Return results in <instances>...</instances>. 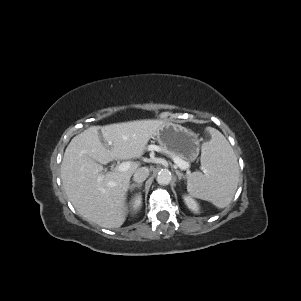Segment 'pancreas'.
<instances>
[{"label":"pancreas","instance_id":"cf45deb5","mask_svg":"<svg viewBox=\"0 0 301 301\" xmlns=\"http://www.w3.org/2000/svg\"><path fill=\"white\" fill-rule=\"evenodd\" d=\"M173 157H174V158L178 157V158L182 159L181 157H179V156H175V155H173ZM182 160H183V159H182Z\"/></svg>","mask_w":301,"mask_h":301}]
</instances>
